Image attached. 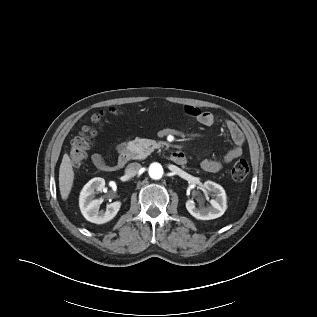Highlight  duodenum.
Returning <instances> with one entry per match:
<instances>
[{"label": "duodenum", "mask_w": 317, "mask_h": 317, "mask_svg": "<svg viewBox=\"0 0 317 317\" xmlns=\"http://www.w3.org/2000/svg\"><path fill=\"white\" fill-rule=\"evenodd\" d=\"M130 159L131 153L128 150H124L115 163L108 165L106 171H115L121 169L130 161ZM170 159L172 162L178 165H183L186 163V156L181 151L172 152L170 155Z\"/></svg>", "instance_id": "duodenum-1"}]
</instances>
